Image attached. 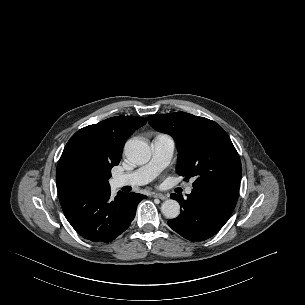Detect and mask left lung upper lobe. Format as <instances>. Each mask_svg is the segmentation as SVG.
I'll use <instances>...</instances> for the list:
<instances>
[{
	"label": "left lung upper lobe",
	"mask_w": 305,
	"mask_h": 305,
	"mask_svg": "<svg viewBox=\"0 0 305 305\" xmlns=\"http://www.w3.org/2000/svg\"><path fill=\"white\" fill-rule=\"evenodd\" d=\"M148 122L174 138L178 150L176 172L185 180L194 177V188L241 181L239 155L216 122L185 112L150 115Z\"/></svg>",
	"instance_id": "obj_1"
}]
</instances>
